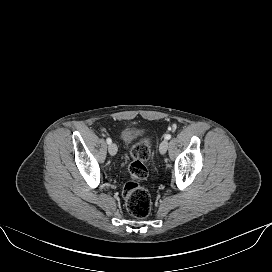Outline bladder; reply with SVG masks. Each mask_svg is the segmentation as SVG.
<instances>
[{
  "instance_id": "1",
  "label": "bladder",
  "mask_w": 272,
  "mask_h": 272,
  "mask_svg": "<svg viewBox=\"0 0 272 272\" xmlns=\"http://www.w3.org/2000/svg\"><path fill=\"white\" fill-rule=\"evenodd\" d=\"M140 131L133 127H128L123 131V139L127 144L132 143L139 136Z\"/></svg>"
}]
</instances>
